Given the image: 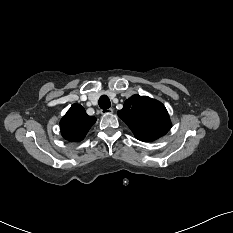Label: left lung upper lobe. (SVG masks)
I'll list each match as a JSON object with an SVG mask.
<instances>
[{
    "label": "left lung upper lobe",
    "instance_id": "1",
    "mask_svg": "<svg viewBox=\"0 0 233 233\" xmlns=\"http://www.w3.org/2000/svg\"><path fill=\"white\" fill-rule=\"evenodd\" d=\"M118 116L128 125L135 137L149 142L165 135L171 122L165 106L150 97L133 95L124 103Z\"/></svg>",
    "mask_w": 233,
    "mask_h": 233
}]
</instances>
